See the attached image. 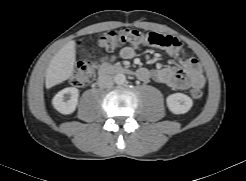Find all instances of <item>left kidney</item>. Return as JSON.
Returning a JSON list of instances; mask_svg holds the SVG:
<instances>
[{"label": "left kidney", "instance_id": "obj_1", "mask_svg": "<svg viewBox=\"0 0 246 181\" xmlns=\"http://www.w3.org/2000/svg\"><path fill=\"white\" fill-rule=\"evenodd\" d=\"M166 102L169 110L173 114H184L188 112L193 105L192 99L183 93L169 95L166 98Z\"/></svg>", "mask_w": 246, "mask_h": 181}]
</instances>
